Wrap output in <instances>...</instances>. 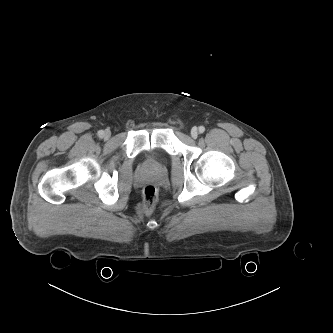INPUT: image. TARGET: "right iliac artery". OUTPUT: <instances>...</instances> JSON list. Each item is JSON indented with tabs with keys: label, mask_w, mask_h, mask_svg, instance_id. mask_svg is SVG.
Here are the masks:
<instances>
[{
	"label": "right iliac artery",
	"mask_w": 333,
	"mask_h": 333,
	"mask_svg": "<svg viewBox=\"0 0 333 333\" xmlns=\"http://www.w3.org/2000/svg\"><path fill=\"white\" fill-rule=\"evenodd\" d=\"M103 135H104V131H103V130H99V131H98V136H99V137H102Z\"/></svg>",
	"instance_id": "obj_1"
}]
</instances>
